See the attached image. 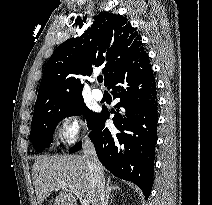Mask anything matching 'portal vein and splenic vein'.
<instances>
[{"mask_svg":"<svg viewBox=\"0 0 212 205\" xmlns=\"http://www.w3.org/2000/svg\"><path fill=\"white\" fill-rule=\"evenodd\" d=\"M68 186L70 191L77 197V198H80V201H81V205H89V201L88 200H84L81 198L80 196V193L71 185H68L66 183H60L58 186H57V189H60L62 186Z\"/></svg>","mask_w":212,"mask_h":205,"instance_id":"portal-vein-and-splenic-vein-1","label":"portal vein and splenic vein"}]
</instances>
